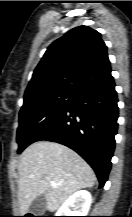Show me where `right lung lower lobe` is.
<instances>
[{"label":"right lung lower lobe","instance_id":"98d812e1","mask_svg":"<svg viewBox=\"0 0 132 217\" xmlns=\"http://www.w3.org/2000/svg\"><path fill=\"white\" fill-rule=\"evenodd\" d=\"M113 78L78 94L37 141L63 144L81 155L103 187L111 168L117 132L118 106Z\"/></svg>","mask_w":132,"mask_h":217}]
</instances>
